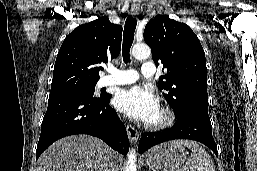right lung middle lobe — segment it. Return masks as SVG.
<instances>
[{"label":"right lung middle lobe","instance_id":"dd1d6c3e","mask_svg":"<svg viewBox=\"0 0 257 171\" xmlns=\"http://www.w3.org/2000/svg\"><path fill=\"white\" fill-rule=\"evenodd\" d=\"M97 82L91 83H71L65 86L51 87L50 95H56L67 92L85 93L93 96ZM107 94H101L99 98L105 97Z\"/></svg>","mask_w":257,"mask_h":171}]
</instances>
